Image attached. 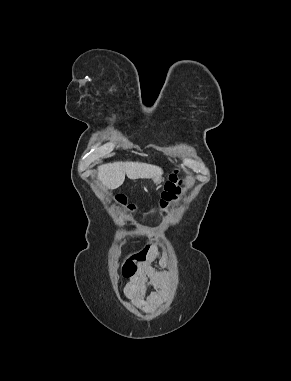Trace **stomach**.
<instances>
[{"mask_svg": "<svg viewBox=\"0 0 291 381\" xmlns=\"http://www.w3.org/2000/svg\"><path fill=\"white\" fill-rule=\"evenodd\" d=\"M154 182L158 184L161 182V179H155Z\"/></svg>", "mask_w": 291, "mask_h": 381, "instance_id": "stomach-1", "label": "stomach"}]
</instances>
